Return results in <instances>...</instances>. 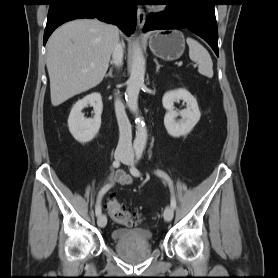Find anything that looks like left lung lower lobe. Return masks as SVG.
<instances>
[{
    "label": "left lung lower lobe",
    "mask_w": 278,
    "mask_h": 278,
    "mask_svg": "<svg viewBox=\"0 0 278 278\" xmlns=\"http://www.w3.org/2000/svg\"><path fill=\"white\" fill-rule=\"evenodd\" d=\"M167 10L150 13L144 31L188 28L202 37L218 55V31L214 12L216 0H164Z\"/></svg>",
    "instance_id": "obj_1"
}]
</instances>
